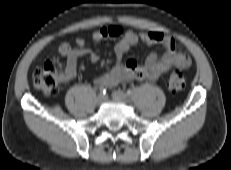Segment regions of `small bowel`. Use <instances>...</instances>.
I'll list each match as a JSON object with an SVG mask.
<instances>
[{
	"instance_id": "c3829d8e",
	"label": "small bowel",
	"mask_w": 231,
	"mask_h": 170,
	"mask_svg": "<svg viewBox=\"0 0 231 170\" xmlns=\"http://www.w3.org/2000/svg\"><path fill=\"white\" fill-rule=\"evenodd\" d=\"M121 37L116 43L114 51L116 64L107 73L97 77L94 81L97 86L113 87L122 82L148 79L157 80L162 74L168 72L172 67L188 68L191 65L190 56L179 48L177 41L161 32H140L124 30L121 26H104L91 35L93 42H100L106 39ZM138 42L146 45H160L163 53H151L143 64L129 59L123 61L127 51ZM88 55L93 63L99 61V55L85 47L83 38L76 39V46L70 48L67 53V61L61 81L72 80L77 73L78 61L81 57Z\"/></svg>"
}]
</instances>
